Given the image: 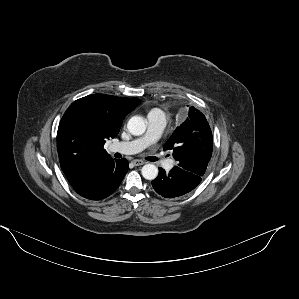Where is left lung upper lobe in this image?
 <instances>
[{"mask_svg": "<svg viewBox=\"0 0 299 299\" xmlns=\"http://www.w3.org/2000/svg\"><path fill=\"white\" fill-rule=\"evenodd\" d=\"M163 148L173 151L178 166L203 176L213 150L212 132L205 116L190 107L187 119L177 127Z\"/></svg>", "mask_w": 299, "mask_h": 299, "instance_id": "obj_1", "label": "left lung upper lobe"}]
</instances>
